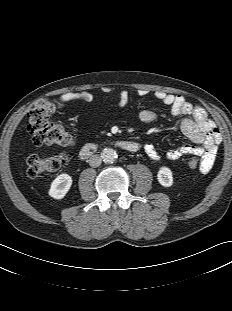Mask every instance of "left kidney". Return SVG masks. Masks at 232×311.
<instances>
[{"label": "left kidney", "mask_w": 232, "mask_h": 311, "mask_svg": "<svg viewBox=\"0 0 232 311\" xmlns=\"http://www.w3.org/2000/svg\"><path fill=\"white\" fill-rule=\"evenodd\" d=\"M159 183L164 187H170L173 184L172 171L168 167H161L157 174Z\"/></svg>", "instance_id": "left-kidney-1"}]
</instances>
